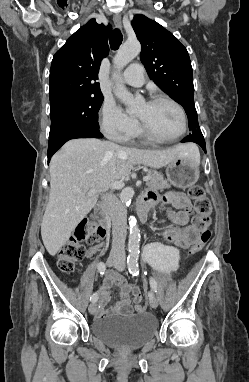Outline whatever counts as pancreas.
<instances>
[{
  "instance_id": "1",
  "label": "pancreas",
  "mask_w": 249,
  "mask_h": 382,
  "mask_svg": "<svg viewBox=\"0 0 249 382\" xmlns=\"http://www.w3.org/2000/svg\"><path fill=\"white\" fill-rule=\"evenodd\" d=\"M147 176L150 177V180L147 181V186L153 190H163L170 188V184L163 175L157 171L149 170Z\"/></svg>"
}]
</instances>
